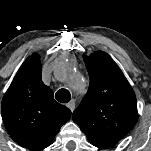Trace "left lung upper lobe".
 Segmentation results:
<instances>
[{
  "label": "left lung upper lobe",
  "instance_id": "obj_1",
  "mask_svg": "<svg viewBox=\"0 0 151 151\" xmlns=\"http://www.w3.org/2000/svg\"><path fill=\"white\" fill-rule=\"evenodd\" d=\"M90 85L87 94L73 112L90 142L119 141L138 120L135 93L120 68L103 51L83 56Z\"/></svg>",
  "mask_w": 151,
  "mask_h": 151
}]
</instances>
